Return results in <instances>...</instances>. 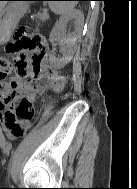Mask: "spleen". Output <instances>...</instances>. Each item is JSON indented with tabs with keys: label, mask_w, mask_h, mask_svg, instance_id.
I'll list each match as a JSON object with an SVG mask.
<instances>
[{
	"label": "spleen",
	"mask_w": 137,
	"mask_h": 189,
	"mask_svg": "<svg viewBox=\"0 0 137 189\" xmlns=\"http://www.w3.org/2000/svg\"><path fill=\"white\" fill-rule=\"evenodd\" d=\"M74 5L75 2H70V1H49L50 9L54 13H59V14L64 13L67 9L73 8Z\"/></svg>",
	"instance_id": "obj_1"
}]
</instances>
